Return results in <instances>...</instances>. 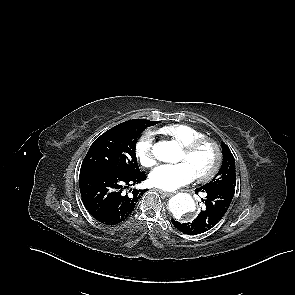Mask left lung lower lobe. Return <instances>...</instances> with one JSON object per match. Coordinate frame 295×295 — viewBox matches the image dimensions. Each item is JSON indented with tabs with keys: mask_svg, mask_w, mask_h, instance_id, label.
I'll return each mask as SVG.
<instances>
[{
	"mask_svg": "<svg viewBox=\"0 0 295 295\" xmlns=\"http://www.w3.org/2000/svg\"><path fill=\"white\" fill-rule=\"evenodd\" d=\"M198 192H203L206 199L204 209L197 218L191 223H180L172 219V224L181 232L189 235L204 233L216 226L227 212L233 199L235 189L230 187H212L202 186L197 188Z\"/></svg>",
	"mask_w": 295,
	"mask_h": 295,
	"instance_id": "1",
	"label": "left lung lower lobe"
}]
</instances>
